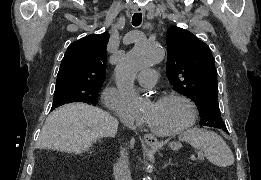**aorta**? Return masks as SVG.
<instances>
[{"mask_svg":"<svg viewBox=\"0 0 261 180\" xmlns=\"http://www.w3.org/2000/svg\"><path fill=\"white\" fill-rule=\"evenodd\" d=\"M164 57L165 51L158 44L141 41L119 61L115 68L116 84L128 109L138 110L142 107V99L134 88L137 73L143 68L161 62Z\"/></svg>","mask_w":261,"mask_h":180,"instance_id":"1","label":"aorta"}]
</instances>
